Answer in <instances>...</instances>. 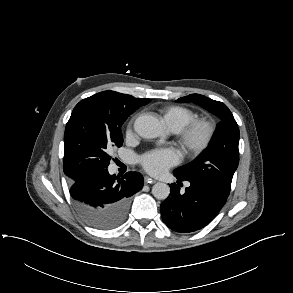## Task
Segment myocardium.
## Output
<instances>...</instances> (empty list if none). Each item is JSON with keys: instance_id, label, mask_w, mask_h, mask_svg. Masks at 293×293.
Returning a JSON list of instances; mask_svg holds the SVG:
<instances>
[{"instance_id": "obj_1", "label": "myocardium", "mask_w": 293, "mask_h": 293, "mask_svg": "<svg viewBox=\"0 0 293 293\" xmlns=\"http://www.w3.org/2000/svg\"><path fill=\"white\" fill-rule=\"evenodd\" d=\"M214 134L215 125L207 118H195L176 132L178 143L190 156H196L205 151Z\"/></svg>"}]
</instances>
